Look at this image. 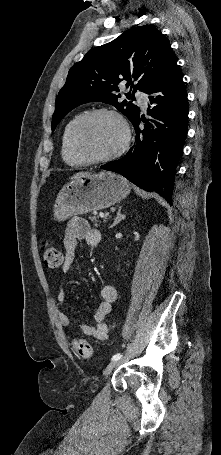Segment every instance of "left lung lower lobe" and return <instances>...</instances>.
<instances>
[{
    "label": "left lung lower lobe",
    "mask_w": 221,
    "mask_h": 455,
    "mask_svg": "<svg viewBox=\"0 0 221 455\" xmlns=\"http://www.w3.org/2000/svg\"><path fill=\"white\" fill-rule=\"evenodd\" d=\"M153 93L159 94L155 98L150 96V103L158 105L148 109V114L160 121L155 123L158 129L151 132L145 125L144 130H140L139 124L145 119L139 113L132 121L136 131L134 146L124 157L101 168L123 175L172 204L176 168L188 132L189 113L187 92L177 62L147 94Z\"/></svg>",
    "instance_id": "left-lung-lower-lobe-1"
}]
</instances>
